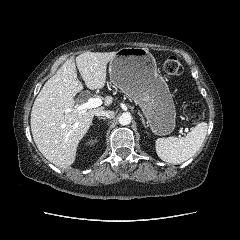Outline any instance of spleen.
Here are the masks:
<instances>
[{
    "label": "spleen",
    "mask_w": 240,
    "mask_h": 240,
    "mask_svg": "<svg viewBox=\"0 0 240 240\" xmlns=\"http://www.w3.org/2000/svg\"><path fill=\"white\" fill-rule=\"evenodd\" d=\"M208 124L201 122L186 137L158 138L155 141L156 153L159 158L172 164H180L191 158L202 146Z\"/></svg>",
    "instance_id": "spleen-1"
}]
</instances>
